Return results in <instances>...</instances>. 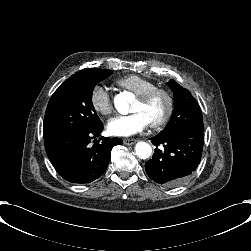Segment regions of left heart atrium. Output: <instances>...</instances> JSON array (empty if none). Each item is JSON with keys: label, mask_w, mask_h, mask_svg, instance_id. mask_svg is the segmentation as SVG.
<instances>
[{"label": "left heart atrium", "mask_w": 251, "mask_h": 251, "mask_svg": "<svg viewBox=\"0 0 251 251\" xmlns=\"http://www.w3.org/2000/svg\"><path fill=\"white\" fill-rule=\"evenodd\" d=\"M150 123V118L143 110H136L111 118L107 122V130L111 135L127 137L141 132Z\"/></svg>", "instance_id": "39dd6f15"}]
</instances>
